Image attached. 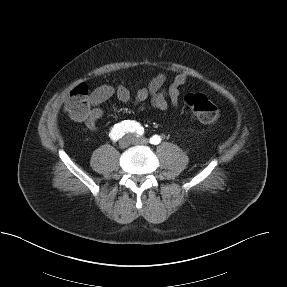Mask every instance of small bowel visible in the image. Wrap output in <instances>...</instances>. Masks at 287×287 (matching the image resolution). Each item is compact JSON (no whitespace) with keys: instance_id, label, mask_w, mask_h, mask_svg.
<instances>
[{"instance_id":"c3829d8e","label":"small bowel","mask_w":287,"mask_h":287,"mask_svg":"<svg viewBox=\"0 0 287 287\" xmlns=\"http://www.w3.org/2000/svg\"><path fill=\"white\" fill-rule=\"evenodd\" d=\"M167 76L164 72L157 74L147 86L140 88L135 94H132L124 85L112 87L102 85L92 91L89 97L90 111L88 117L82 121L90 131L97 130V123L103 116L102 104L113 96H116L122 102H143L150 100L152 106L166 112L169 104L177 107L179 104L180 88L187 80L186 73L177 74L168 88H164Z\"/></svg>"}]
</instances>
